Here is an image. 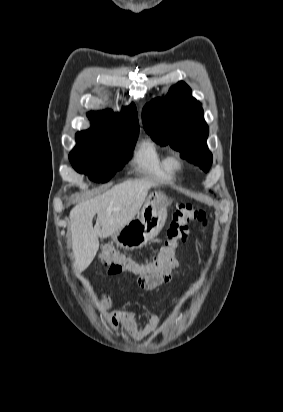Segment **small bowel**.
<instances>
[{"mask_svg": "<svg viewBox=\"0 0 283 412\" xmlns=\"http://www.w3.org/2000/svg\"><path fill=\"white\" fill-rule=\"evenodd\" d=\"M177 268L178 260L175 256L172 261L171 270L167 275H165L158 281H152L137 276V283L143 289H153L163 282H167L172 276L176 275L178 273ZM111 306L112 301L110 296L107 293H102L99 297V314L112 330L122 328L130 335L139 338L144 335L155 333L161 327V320L156 314L148 313L147 323L141 326L137 322V312L125 309L111 310Z\"/></svg>", "mask_w": 283, "mask_h": 412, "instance_id": "1", "label": "small bowel"}]
</instances>
